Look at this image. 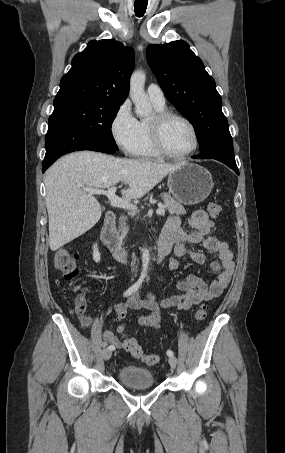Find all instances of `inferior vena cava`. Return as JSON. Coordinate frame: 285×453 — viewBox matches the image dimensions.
<instances>
[{"instance_id":"inferior-vena-cava-1","label":"inferior vena cava","mask_w":285,"mask_h":453,"mask_svg":"<svg viewBox=\"0 0 285 453\" xmlns=\"http://www.w3.org/2000/svg\"><path fill=\"white\" fill-rule=\"evenodd\" d=\"M121 238L124 239L128 233L129 228L126 226L125 220L121 219L120 222Z\"/></svg>"}]
</instances>
